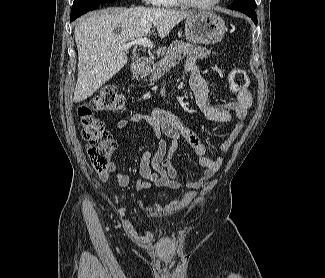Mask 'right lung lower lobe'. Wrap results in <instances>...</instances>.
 I'll use <instances>...</instances> for the list:
<instances>
[{
  "label": "right lung lower lobe",
  "mask_w": 325,
  "mask_h": 278,
  "mask_svg": "<svg viewBox=\"0 0 325 278\" xmlns=\"http://www.w3.org/2000/svg\"><path fill=\"white\" fill-rule=\"evenodd\" d=\"M105 3H109V2H105ZM105 3L94 1V0H74L71 16H70V22L74 21L76 18L87 13L88 11L93 10Z\"/></svg>",
  "instance_id": "1"
}]
</instances>
